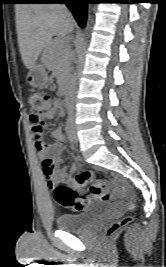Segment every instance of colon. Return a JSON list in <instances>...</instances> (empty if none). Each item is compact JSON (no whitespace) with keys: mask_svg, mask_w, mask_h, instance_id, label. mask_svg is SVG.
<instances>
[{"mask_svg":"<svg viewBox=\"0 0 166 267\" xmlns=\"http://www.w3.org/2000/svg\"><path fill=\"white\" fill-rule=\"evenodd\" d=\"M28 103L31 107V115L30 117L37 121L39 118L47 112L49 109L53 107V101L51 97L47 94L32 91L28 95ZM38 142L43 144L44 136L40 131L38 133ZM43 169L46 174L51 175L54 173V166L50 161H45L43 163ZM77 184L85 185L92 182V173L90 171L81 170L76 178ZM117 178H113L111 180V184H116ZM91 191L94 194L95 192H106L103 188L102 183L96 182L91 186ZM101 195L98 198H102ZM97 197V196H96ZM55 199L56 201L65 208H70L75 211H82L88 206V199L85 197L79 196L78 193L72 188L65 185H58L55 188ZM134 207V204H131V208ZM130 217L125 216L115 222H113L108 229L106 230V236L110 237L114 235L119 229L124 227L126 224L130 222Z\"/></svg>","mask_w":166,"mask_h":267,"instance_id":"1","label":"colon"}]
</instances>
